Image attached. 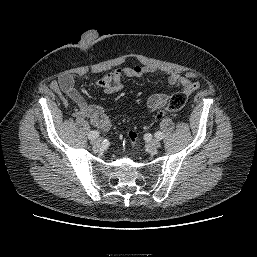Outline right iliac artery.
Returning <instances> with one entry per match:
<instances>
[{"label": "right iliac artery", "mask_w": 257, "mask_h": 257, "mask_svg": "<svg viewBox=\"0 0 257 257\" xmlns=\"http://www.w3.org/2000/svg\"><path fill=\"white\" fill-rule=\"evenodd\" d=\"M99 136V132L96 130H92L88 133V138L93 140Z\"/></svg>", "instance_id": "82829eb1"}]
</instances>
